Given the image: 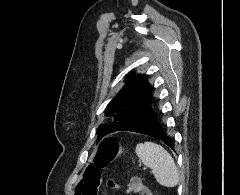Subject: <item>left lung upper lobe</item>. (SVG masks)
I'll list each match as a JSON object with an SVG mask.
<instances>
[{
	"mask_svg": "<svg viewBox=\"0 0 240 195\" xmlns=\"http://www.w3.org/2000/svg\"><path fill=\"white\" fill-rule=\"evenodd\" d=\"M126 81L125 86L105 109V115L113 116L114 122L99 126V138L111 132L122 130L151 103L152 87L143 75L131 72L127 75Z\"/></svg>",
	"mask_w": 240,
	"mask_h": 195,
	"instance_id": "1",
	"label": "left lung upper lobe"
}]
</instances>
